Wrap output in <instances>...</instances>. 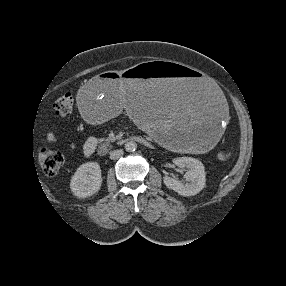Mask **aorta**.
I'll list each match as a JSON object with an SVG mask.
<instances>
[{
    "instance_id": "762f6f07",
    "label": "aorta",
    "mask_w": 286,
    "mask_h": 286,
    "mask_svg": "<svg viewBox=\"0 0 286 286\" xmlns=\"http://www.w3.org/2000/svg\"><path fill=\"white\" fill-rule=\"evenodd\" d=\"M137 148V144L134 141H129L125 144V150L127 152H133Z\"/></svg>"
}]
</instances>
